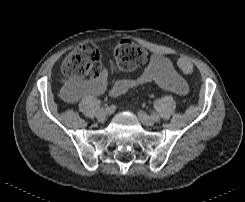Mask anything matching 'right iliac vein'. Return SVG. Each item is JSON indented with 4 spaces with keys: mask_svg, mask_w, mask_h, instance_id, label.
I'll return each mask as SVG.
<instances>
[{
    "mask_svg": "<svg viewBox=\"0 0 245 202\" xmlns=\"http://www.w3.org/2000/svg\"><path fill=\"white\" fill-rule=\"evenodd\" d=\"M109 115V112L108 110L106 109H100L97 114H96V118L99 120V121H103L106 116Z\"/></svg>",
    "mask_w": 245,
    "mask_h": 202,
    "instance_id": "obj_1",
    "label": "right iliac vein"
}]
</instances>
